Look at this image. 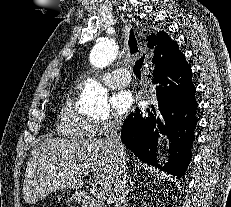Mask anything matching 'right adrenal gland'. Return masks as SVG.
I'll return each instance as SVG.
<instances>
[{
  "mask_svg": "<svg viewBox=\"0 0 231 207\" xmlns=\"http://www.w3.org/2000/svg\"><path fill=\"white\" fill-rule=\"evenodd\" d=\"M130 184H131V189L130 191H133L134 190V183L130 180Z\"/></svg>",
  "mask_w": 231,
  "mask_h": 207,
  "instance_id": "1",
  "label": "right adrenal gland"
}]
</instances>
